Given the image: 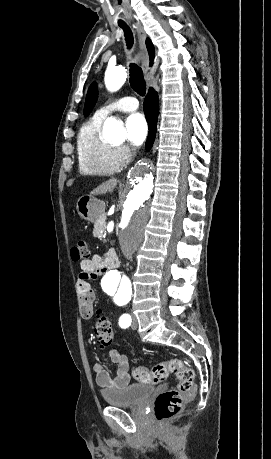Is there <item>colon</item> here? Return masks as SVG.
<instances>
[{"mask_svg":"<svg viewBox=\"0 0 271 459\" xmlns=\"http://www.w3.org/2000/svg\"><path fill=\"white\" fill-rule=\"evenodd\" d=\"M90 255L87 243L79 241L71 248L73 261L88 259ZM95 335L102 346L110 345L113 341V330L110 321L102 314H98L95 325ZM169 374L178 378L176 388L159 394L155 400V417L158 422H165L176 416L184 403L190 400L196 392L195 373L179 358H172L157 363L152 368L137 367L133 377L143 384H158L167 379Z\"/></svg>","mask_w":271,"mask_h":459,"instance_id":"1","label":"colon"}]
</instances>
